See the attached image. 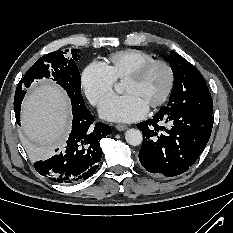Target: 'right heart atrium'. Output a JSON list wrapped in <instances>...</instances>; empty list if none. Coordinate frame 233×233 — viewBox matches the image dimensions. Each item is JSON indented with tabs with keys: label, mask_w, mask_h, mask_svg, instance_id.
Segmentation results:
<instances>
[{
	"label": "right heart atrium",
	"mask_w": 233,
	"mask_h": 233,
	"mask_svg": "<svg viewBox=\"0 0 233 233\" xmlns=\"http://www.w3.org/2000/svg\"><path fill=\"white\" fill-rule=\"evenodd\" d=\"M82 89L94 106H99L114 90L115 79L106 66L99 62L88 64L80 78Z\"/></svg>",
	"instance_id": "d8ad5b80"
}]
</instances>
